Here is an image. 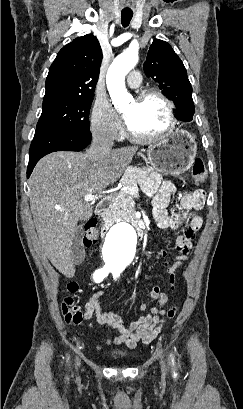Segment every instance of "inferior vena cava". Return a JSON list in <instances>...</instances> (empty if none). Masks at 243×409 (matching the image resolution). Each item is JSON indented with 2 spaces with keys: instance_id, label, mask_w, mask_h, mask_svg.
Instances as JSON below:
<instances>
[{
  "instance_id": "inferior-vena-cava-1",
  "label": "inferior vena cava",
  "mask_w": 243,
  "mask_h": 409,
  "mask_svg": "<svg viewBox=\"0 0 243 409\" xmlns=\"http://www.w3.org/2000/svg\"><path fill=\"white\" fill-rule=\"evenodd\" d=\"M113 146V140L104 133H94L91 146L87 151V157L98 159L108 154Z\"/></svg>"
}]
</instances>
